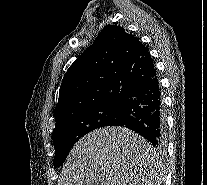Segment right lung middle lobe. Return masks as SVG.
Listing matches in <instances>:
<instances>
[{
    "label": "right lung middle lobe",
    "instance_id": "obj_1",
    "mask_svg": "<svg viewBox=\"0 0 207 185\" xmlns=\"http://www.w3.org/2000/svg\"><path fill=\"white\" fill-rule=\"evenodd\" d=\"M121 104H104L71 115L56 123L52 138L54 167L61 166L73 145L85 134L116 119Z\"/></svg>",
    "mask_w": 207,
    "mask_h": 185
}]
</instances>
